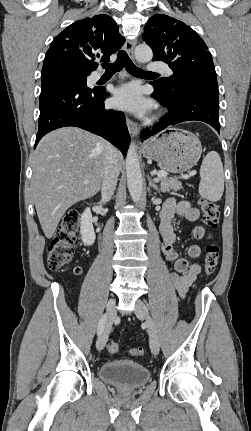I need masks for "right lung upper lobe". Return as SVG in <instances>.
Masks as SVG:
<instances>
[{
    "instance_id": "obj_1",
    "label": "right lung upper lobe",
    "mask_w": 251,
    "mask_h": 431,
    "mask_svg": "<svg viewBox=\"0 0 251 431\" xmlns=\"http://www.w3.org/2000/svg\"><path fill=\"white\" fill-rule=\"evenodd\" d=\"M124 42L110 16L101 14L85 18L69 25L54 38L46 52L43 68L63 60L92 72L98 66L97 58L108 62L110 55Z\"/></svg>"
}]
</instances>
